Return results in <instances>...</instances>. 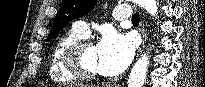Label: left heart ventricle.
Here are the masks:
<instances>
[{
  "label": "left heart ventricle",
  "mask_w": 205,
  "mask_h": 87,
  "mask_svg": "<svg viewBox=\"0 0 205 87\" xmlns=\"http://www.w3.org/2000/svg\"><path fill=\"white\" fill-rule=\"evenodd\" d=\"M81 66L85 72L88 73H97V55L96 47L89 46L86 47L81 53Z\"/></svg>",
  "instance_id": "left-heart-ventricle-1"
}]
</instances>
